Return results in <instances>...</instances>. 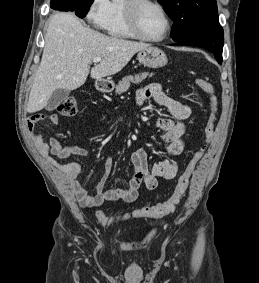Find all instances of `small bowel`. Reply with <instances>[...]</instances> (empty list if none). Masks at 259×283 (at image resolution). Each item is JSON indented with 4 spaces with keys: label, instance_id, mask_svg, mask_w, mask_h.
<instances>
[{
    "label": "small bowel",
    "instance_id": "c3829d8e",
    "mask_svg": "<svg viewBox=\"0 0 259 283\" xmlns=\"http://www.w3.org/2000/svg\"><path fill=\"white\" fill-rule=\"evenodd\" d=\"M150 99L166 107L173 116V119L157 118L155 125L162 131L160 139L165 144V151L168 156L170 158L177 157L184 150L185 121L190 117L191 109L188 105L168 96L158 84L145 86L137 92V104L139 106ZM44 119H48L53 124L59 122L56 114L38 113L28 119L27 129L46 160L63 175L80 204L85 207H97L106 201L131 203L136 200L138 190L142 185L148 190H154L159 178L169 180L175 178L178 174V165L171 159L157 162L150 168L147 163V152L143 148H137L131 154L134 172L127 188L104 190L113 171L112 160L108 157L105 163V172L96 185L95 193L90 194L79 179L82 170L81 164L64 162L72 155L89 157L90 151L79 146L63 148L57 138H51L49 141L42 138L37 132V125Z\"/></svg>",
    "mask_w": 259,
    "mask_h": 283
}]
</instances>
